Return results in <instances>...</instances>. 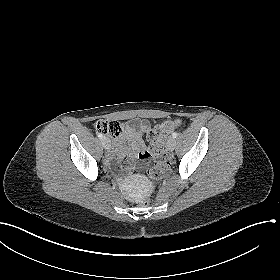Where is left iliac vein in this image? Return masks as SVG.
<instances>
[{
  "label": "left iliac vein",
  "mask_w": 280,
  "mask_h": 280,
  "mask_svg": "<svg viewBox=\"0 0 280 280\" xmlns=\"http://www.w3.org/2000/svg\"><path fill=\"white\" fill-rule=\"evenodd\" d=\"M167 147L170 151H173L174 148H175V139L173 137H170L168 139V142H167Z\"/></svg>",
  "instance_id": "obj_1"
}]
</instances>
